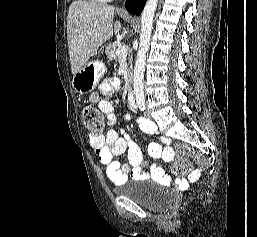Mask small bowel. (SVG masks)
<instances>
[{
	"instance_id": "small-bowel-1",
	"label": "small bowel",
	"mask_w": 257,
	"mask_h": 237,
	"mask_svg": "<svg viewBox=\"0 0 257 237\" xmlns=\"http://www.w3.org/2000/svg\"><path fill=\"white\" fill-rule=\"evenodd\" d=\"M120 87L117 78H107L100 85V92H94L89 96L91 103H97L99 110L105 115L108 125H113L116 121L114 107L112 103L101 98V94L110 95ZM128 117H130L128 115ZM140 129L149 134L156 131L155 124L144 118L138 120ZM88 141L93 148L98 160L105 167L106 175L115 184H122L127 179V174L134 180H143L152 177L159 182H171L173 179L157 164L152 165L149 171L142 168L144 164L141 149L136 145L130 136L122 129L112 128L102 136L89 135ZM169 142L168 138H161L160 142H152L148 146L149 154L152 157H162L165 160L173 158V151L165 148L162 144ZM127 154L128 162L121 165L115 160L116 157ZM199 177V171H194L190 181Z\"/></svg>"
}]
</instances>
